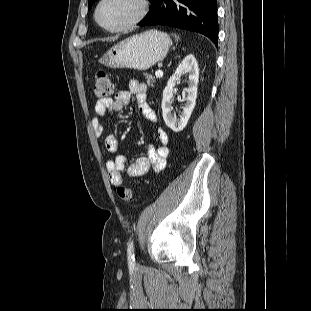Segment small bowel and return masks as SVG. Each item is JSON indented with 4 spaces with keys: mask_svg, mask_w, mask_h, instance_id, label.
I'll return each instance as SVG.
<instances>
[{
    "mask_svg": "<svg viewBox=\"0 0 311 311\" xmlns=\"http://www.w3.org/2000/svg\"><path fill=\"white\" fill-rule=\"evenodd\" d=\"M146 85L137 80H131L128 90H119L114 97L100 99L94 107V114L90 124L95 136L99 137L103 132V117L107 112L120 113L134 98L143 116L151 123L157 122V115L147 102ZM156 135L159 146L149 145L147 155L141 156L134 162L129 163L127 155H117L106 162V170L111 184L118 186L122 183L123 173L131 177H140L150 170L160 172L166 162L169 153L168 133L163 128H157ZM108 152H116L119 147L118 137L115 133L106 135L104 140Z\"/></svg>",
    "mask_w": 311,
    "mask_h": 311,
    "instance_id": "obj_1",
    "label": "small bowel"
}]
</instances>
